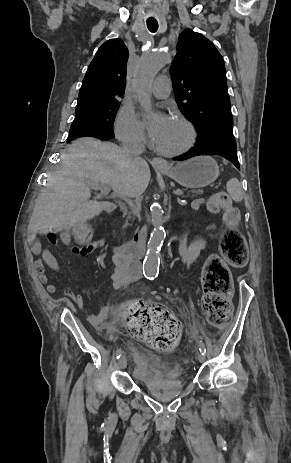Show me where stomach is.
<instances>
[{
    "mask_svg": "<svg viewBox=\"0 0 291 463\" xmlns=\"http://www.w3.org/2000/svg\"><path fill=\"white\" fill-rule=\"evenodd\" d=\"M161 171L188 188L205 187L219 176L218 164L209 156H197L174 167L162 168Z\"/></svg>",
    "mask_w": 291,
    "mask_h": 463,
    "instance_id": "0dacf381",
    "label": "stomach"
}]
</instances>
